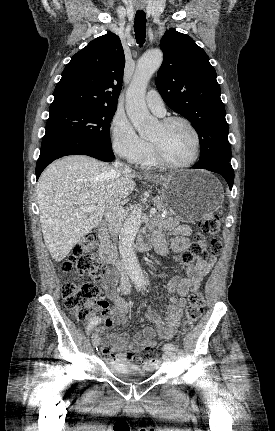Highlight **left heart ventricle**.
<instances>
[{
    "label": "left heart ventricle",
    "mask_w": 275,
    "mask_h": 431,
    "mask_svg": "<svg viewBox=\"0 0 275 431\" xmlns=\"http://www.w3.org/2000/svg\"><path fill=\"white\" fill-rule=\"evenodd\" d=\"M151 142L155 143L161 154L172 163L189 161L195 151V140L192 132L183 123H173L167 128L158 124L151 135Z\"/></svg>",
    "instance_id": "1"
}]
</instances>
